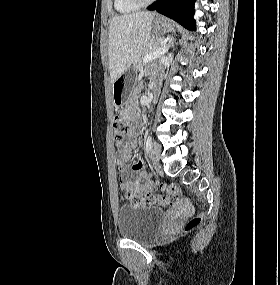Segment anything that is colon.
<instances>
[{
    "label": "colon",
    "mask_w": 280,
    "mask_h": 285,
    "mask_svg": "<svg viewBox=\"0 0 280 285\" xmlns=\"http://www.w3.org/2000/svg\"><path fill=\"white\" fill-rule=\"evenodd\" d=\"M131 123L128 119L121 115H115L112 121L113 139L117 144H120L124 137L130 130ZM166 189V194L163 196L141 194L138 192H128L126 197L127 200L132 204L139 203H154L163 206H173L179 200V191L175 186H161ZM203 221V215H196L189 219L186 223L185 230L187 232L194 230L201 225Z\"/></svg>",
    "instance_id": "1"
}]
</instances>
